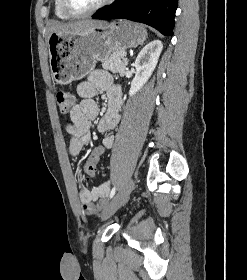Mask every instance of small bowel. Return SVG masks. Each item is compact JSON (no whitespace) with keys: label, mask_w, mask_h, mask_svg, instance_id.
<instances>
[{"label":"small bowel","mask_w":247,"mask_h":280,"mask_svg":"<svg viewBox=\"0 0 247 280\" xmlns=\"http://www.w3.org/2000/svg\"><path fill=\"white\" fill-rule=\"evenodd\" d=\"M98 91L106 92L108 106L104 115L98 120L97 129L104 134L102 144L105 150L112 148L114 144V136L109 132L116 128L120 120L121 89L114 84L108 72L96 70L88 76L87 80L77 86V93L81 101L74 104L70 110L71 122L67 125L66 131L69 134L68 153L73 159H77L83 148L91 141V123L99 116V106L94 100ZM109 191L110 185L108 182H104L93 189L82 187L79 198L83 211L86 214H96L100 211L105 204Z\"/></svg>","instance_id":"c3829d8e"}]
</instances>
